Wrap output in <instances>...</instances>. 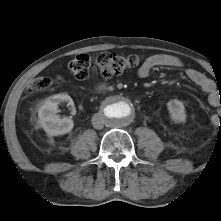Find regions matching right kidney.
Listing matches in <instances>:
<instances>
[{
    "label": "right kidney",
    "instance_id": "obj_1",
    "mask_svg": "<svg viewBox=\"0 0 221 221\" xmlns=\"http://www.w3.org/2000/svg\"><path fill=\"white\" fill-rule=\"evenodd\" d=\"M61 102H67L72 114L76 113L74 102L68 94L50 96L39 108V123L49 136H59L69 133L74 127L72 119L68 117L60 118L59 115L55 114Z\"/></svg>",
    "mask_w": 221,
    "mask_h": 221
}]
</instances>
